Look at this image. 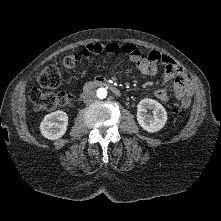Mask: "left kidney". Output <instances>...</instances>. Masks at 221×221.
Segmentation results:
<instances>
[{
	"label": "left kidney",
	"instance_id": "left-kidney-1",
	"mask_svg": "<svg viewBox=\"0 0 221 221\" xmlns=\"http://www.w3.org/2000/svg\"><path fill=\"white\" fill-rule=\"evenodd\" d=\"M147 109L152 110L153 114H147ZM137 121L139 125L149 133L161 130L167 121L165 108L153 99H143L137 105Z\"/></svg>",
	"mask_w": 221,
	"mask_h": 221
}]
</instances>
